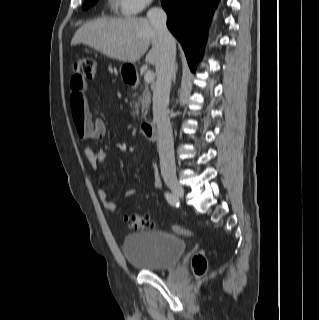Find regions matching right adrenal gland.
<instances>
[{"label": "right adrenal gland", "instance_id": "1", "mask_svg": "<svg viewBox=\"0 0 319 320\" xmlns=\"http://www.w3.org/2000/svg\"><path fill=\"white\" fill-rule=\"evenodd\" d=\"M177 63L175 64V71H174V75H173V82L175 83L176 81V72H177Z\"/></svg>", "mask_w": 319, "mask_h": 320}]
</instances>
